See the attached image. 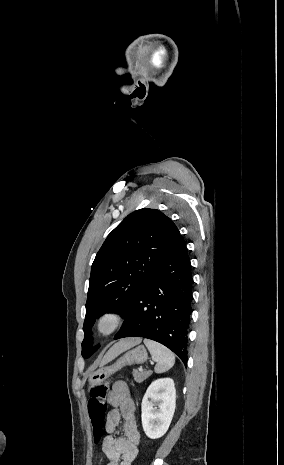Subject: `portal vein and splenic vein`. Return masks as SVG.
<instances>
[{"mask_svg":"<svg viewBox=\"0 0 284 465\" xmlns=\"http://www.w3.org/2000/svg\"><path fill=\"white\" fill-rule=\"evenodd\" d=\"M151 365H154V363H151ZM139 371H143V369H139Z\"/></svg>","mask_w":284,"mask_h":465,"instance_id":"1","label":"portal vein and splenic vein"}]
</instances>
